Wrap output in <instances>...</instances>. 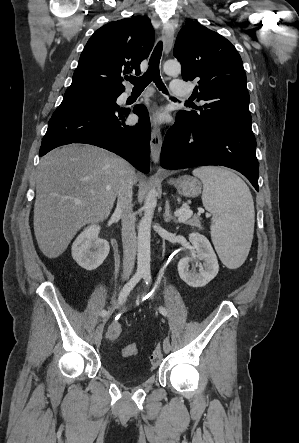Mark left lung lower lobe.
Returning a JSON list of instances; mask_svg holds the SVG:
<instances>
[{
    "label": "left lung lower lobe",
    "mask_w": 299,
    "mask_h": 443,
    "mask_svg": "<svg viewBox=\"0 0 299 443\" xmlns=\"http://www.w3.org/2000/svg\"><path fill=\"white\" fill-rule=\"evenodd\" d=\"M160 162L166 169L226 166L242 173L259 191L256 140L251 127H203L178 112L174 126L165 135Z\"/></svg>",
    "instance_id": "1"
}]
</instances>
